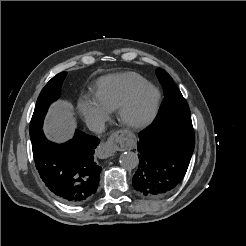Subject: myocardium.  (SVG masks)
<instances>
[{
    "label": "myocardium",
    "instance_id": "myocardium-1",
    "mask_svg": "<svg viewBox=\"0 0 246 246\" xmlns=\"http://www.w3.org/2000/svg\"><path fill=\"white\" fill-rule=\"evenodd\" d=\"M144 94H148L150 96L149 106L146 112L139 118H131L129 116V111L132 105L140 96ZM160 97L161 95L159 90L150 83L135 89L122 101V103L117 108V118L119 122L123 126L132 130H139L146 127L153 121L157 114Z\"/></svg>",
    "mask_w": 246,
    "mask_h": 246
}]
</instances>
